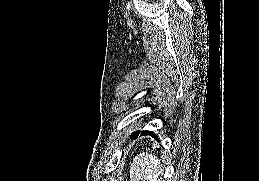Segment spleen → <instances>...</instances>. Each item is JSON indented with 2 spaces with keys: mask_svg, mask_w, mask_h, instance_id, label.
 <instances>
[{
  "mask_svg": "<svg viewBox=\"0 0 259 181\" xmlns=\"http://www.w3.org/2000/svg\"><path fill=\"white\" fill-rule=\"evenodd\" d=\"M161 162L152 153H140L130 165V181H159L164 170Z\"/></svg>",
  "mask_w": 259,
  "mask_h": 181,
  "instance_id": "3e777b00",
  "label": "spleen"
}]
</instances>
